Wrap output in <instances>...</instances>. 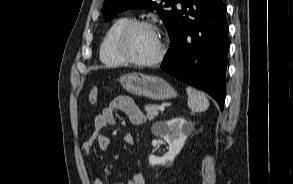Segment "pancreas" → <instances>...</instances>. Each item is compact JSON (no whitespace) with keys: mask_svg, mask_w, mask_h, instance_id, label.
Segmentation results:
<instances>
[{"mask_svg":"<svg viewBox=\"0 0 293 184\" xmlns=\"http://www.w3.org/2000/svg\"><path fill=\"white\" fill-rule=\"evenodd\" d=\"M144 109L149 121H152L158 115V105H146Z\"/></svg>","mask_w":293,"mask_h":184,"instance_id":"cf45deb5","label":"pancreas"}]
</instances>
